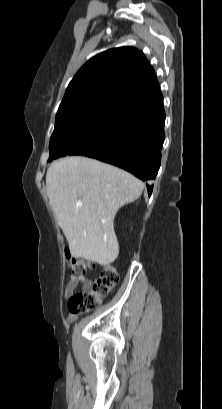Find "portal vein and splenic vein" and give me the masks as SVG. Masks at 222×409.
Instances as JSON below:
<instances>
[{"instance_id":"obj_1","label":"portal vein and splenic vein","mask_w":222,"mask_h":409,"mask_svg":"<svg viewBox=\"0 0 222 409\" xmlns=\"http://www.w3.org/2000/svg\"><path fill=\"white\" fill-rule=\"evenodd\" d=\"M82 205V202L81 201H78L77 202V206H81Z\"/></svg>"}]
</instances>
